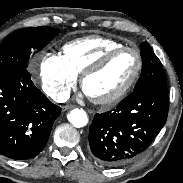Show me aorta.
Here are the masks:
<instances>
[{
  "label": "aorta",
  "instance_id": "1",
  "mask_svg": "<svg viewBox=\"0 0 183 183\" xmlns=\"http://www.w3.org/2000/svg\"><path fill=\"white\" fill-rule=\"evenodd\" d=\"M68 121L77 128H81L87 125L88 117L84 110L82 109H73L67 115Z\"/></svg>",
  "mask_w": 183,
  "mask_h": 183
}]
</instances>
